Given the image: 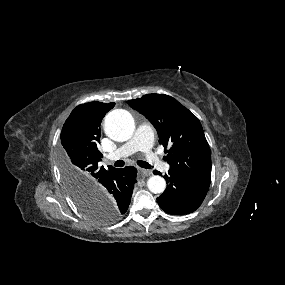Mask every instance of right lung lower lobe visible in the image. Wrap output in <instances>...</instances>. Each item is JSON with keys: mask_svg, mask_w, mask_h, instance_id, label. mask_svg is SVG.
Here are the masks:
<instances>
[{"mask_svg": "<svg viewBox=\"0 0 285 285\" xmlns=\"http://www.w3.org/2000/svg\"><path fill=\"white\" fill-rule=\"evenodd\" d=\"M137 169L127 166L123 169L109 171L97 179L91 189L98 198L110 205L119 216H122L128 209L131 201Z\"/></svg>", "mask_w": 285, "mask_h": 285, "instance_id": "1", "label": "right lung lower lobe"}]
</instances>
